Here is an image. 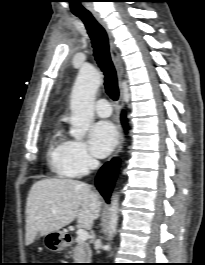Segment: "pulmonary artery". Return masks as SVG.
Here are the masks:
<instances>
[{
	"mask_svg": "<svg viewBox=\"0 0 205 265\" xmlns=\"http://www.w3.org/2000/svg\"><path fill=\"white\" fill-rule=\"evenodd\" d=\"M95 111L100 117H109L112 109L110 103L106 99H100L95 104Z\"/></svg>",
	"mask_w": 205,
	"mask_h": 265,
	"instance_id": "e3ab8cb5",
	"label": "pulmonary artery"
}]
</instances>
